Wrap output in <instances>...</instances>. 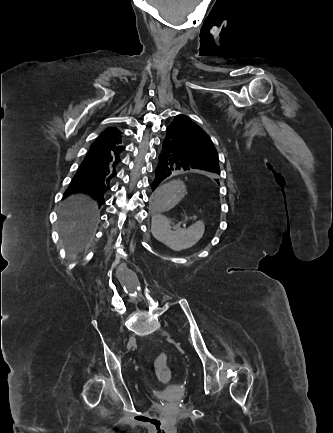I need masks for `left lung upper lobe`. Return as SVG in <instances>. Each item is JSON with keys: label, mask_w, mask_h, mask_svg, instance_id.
<instances>
[{"label": "left lung upper lobe", "mask_w": 333, "mask_h": 433, "mask_svg": "<svg viewBox=\"0 0 333 433\" xmlns=\"http://www.w3.org/2000/svg\"><path fill=\"white\" fill-rule=\"evenodd\" d=\"M172 148L208 166L220 174L217 151L209 136L185 115H177L166 129Z\"/></svg>", "instance_id": "obj_1"}]
</instances>
